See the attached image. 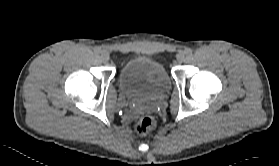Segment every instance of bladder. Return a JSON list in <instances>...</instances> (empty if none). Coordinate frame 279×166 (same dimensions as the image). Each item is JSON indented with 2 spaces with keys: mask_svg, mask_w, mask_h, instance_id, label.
Listing matches in <instances>:
<instances>
[{
  "mask_svg": "<svg viewBox=\"0 0 279 166\" xmlns=\"http://www.w3.org/2000/svg\"><path fill=\"white\" fill-rule=\"evenodd\" d=\"M119 86L132 99L161 96L170 88L169 77L157 60L140 56L125 62L119 72Z\"/></svg>",
  "mask_w": 279,
  "mask_h": 166,
  "instance_id": "obj_1",
  "label": "bladder"
}]
</instances>
